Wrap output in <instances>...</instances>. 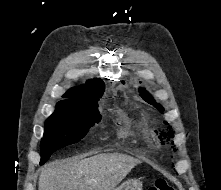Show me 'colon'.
Instances as JSON below:
<instances>
[{
  "instance_id": "5ec220e1",
  "label": "colon",
  "mask_w": 221,
  "mask_h": 190,
  "mask_svg": "<svg viewBox=\"0 0 221 190\" xmlns=\"http://www.w3.org/2000/svg\"><path fill=\"white\" fill-rule=\"evenodd\" d=\"M148 190H174L165 179H157Z\"/></svg>"
}]
</instances>
